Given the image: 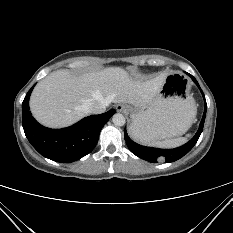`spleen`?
<instances>
[{
  "label": "spleen",
  "mask_w": 233,
  "mask_h": 233,
  "mask_svg": "<svg viewBox=\"0 0 233 233\" xmlns=\"http://www.w3.org/2000/svg\"><path fill=\"white\" fill-rule=\"evenodd\" d=\"M129 134L131 135L133 139L138 141L137 135L133 132V129L131 127H129ZM186 141H187L186 137H177L173 139H166L163 141L154 142V143H151L150 145L155 146V147H160V148H175V147L181 146Z\"/></svg>",
  "instance_id": "3e777b00"
}]
</instances>
